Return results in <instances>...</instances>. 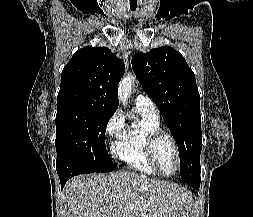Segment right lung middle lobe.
<instances>
[{
  "mask_svg": "<svg viewBox=\"0 0 253 217\" xmlns=\"http://www.w3.org/2000/svg\"><path fill=\"white\" fill-rule=\"evenodd\" d=\"M113 112L83 106L57 107V164L81 162L90 172H109L114 163L105 146V130Z\"/></svg>",
  "mask_w": 253,
  "mask_h": 217,
  "instance_id": "1",
  "label": "right lung middle lobe"
}]
</instances>
